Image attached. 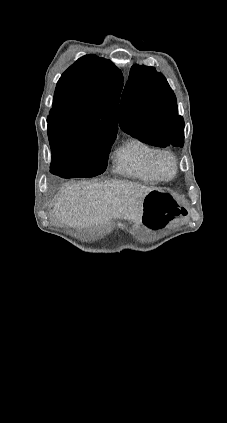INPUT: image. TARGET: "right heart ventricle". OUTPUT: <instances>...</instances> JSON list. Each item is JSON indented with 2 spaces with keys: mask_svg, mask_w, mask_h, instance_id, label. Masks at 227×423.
<instances>
[{
  "mask_svg": "<svg viewBox=\"0 0 227 423\" xmlns=\"http://www.w3.org/2000/svg\"><path fill=\"white\" fill-rule=\"evenodd\" d=\"M156 149L138 138H129L115 153L114 172L118 175L138 179L147 183H157L163 179L152 165Z\"/></svg>",
  "mask_w": 227,
  "mask_h": 423,
  "instance_id": "obj_1",
  "label": "right heart ventricle"
}]
</instances>
